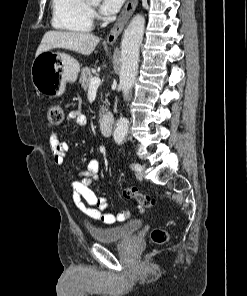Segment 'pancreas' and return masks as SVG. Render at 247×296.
<instances>
[{
	"mask_svg": "<svg viewBox=\"0 0 247 296\" xmlns=\"http://www.w3.org/2000/svg\"><path fill=\"white\" fill-rule=\"evenodd\" d=\"M93 78V75L88 67H83L81 70V75L79 79V83L84 91H87L90 85V80ZM107 101H105V104ZM106 111V107L102 106L100 108V116H102Z\"/></svg>",
	"mask_w": 247,
	"mask_h": 296,
	"instance_id": "cf45deb5",
	"label": "pancreas"
}]
</instances>
